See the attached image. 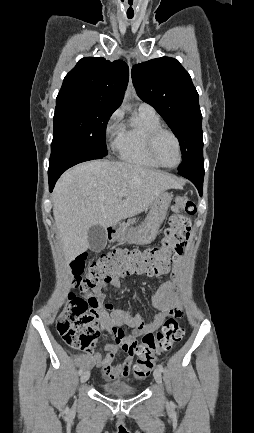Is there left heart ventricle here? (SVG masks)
<instances>
[{"label":"left heart ventricle","mask_w":254,"mask_h":433,"mask_svg":"<svg viewBox=\"0 0 254 433\" xmlns=\"http://www.w3.org/2000/svg\"><path fill=\"white\" fill-rule=\"evenodd\" d=\"M158 159L167 166L174 165L178 160V150L175 140L167 133H161L155 144Z\"/></svg>","instance_id":"left-heart-ventricle-1"}]
</instances>
